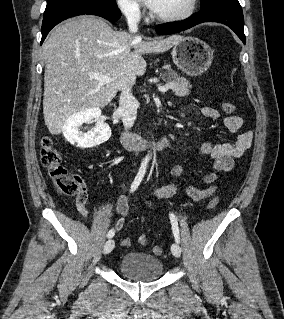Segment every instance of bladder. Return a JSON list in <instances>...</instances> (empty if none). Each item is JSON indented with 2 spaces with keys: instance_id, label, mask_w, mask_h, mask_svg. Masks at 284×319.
I'll use <instances>...</instances> for the list:
<instances>
[{
  "instance_id": "bladder-1",
  "label": "bladder",
  "mask_w": 284,
  "mask_h": 319,
  "mask_svg": "<svg viewBox=\"0 0 284 319\" xmlns=\"http://www.w3.org/2000/svg\"><path fill=\"white\" fill-rule=\"evenodd\" d=\"M121 274L134 282H151L157 280L163 273L162 261L143 252H127L119 262Z\"/></svg>"
}]
</instances>
